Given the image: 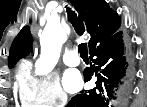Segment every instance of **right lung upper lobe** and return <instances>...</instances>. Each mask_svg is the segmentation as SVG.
I'll return each mask as SVG.
<instances>
[{
	"instance_id": "obj_1",
	"label": "right lung upper lobe",
	"mask_w": 147,
	"mask_h": 107,
	"mask_svg": "<svg viewBox=\"0 0 147 107\" xmlns=\"http://www.w3.org/2000/svg\"><path fill=\"white\" fill-rule=\"evenodd\" d=\"M85 21L87 32L91 35L89 49L99 45L116 33L121 25L117 12L113 11L105 0H70ZM33 38L28 26L22 28L15 37L8 58L9 67L26 57L32 50Z\"/></svg>"
}]
</instances>
